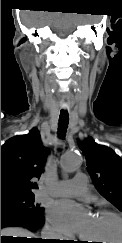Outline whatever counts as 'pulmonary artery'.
I'll return each instance as SVG.
<instances>
[{"mask_svg": "<svg viewBox=\"0 0 122 243\" xmlns=\"http://www.w3.org/2000/svg\"><path fill=\"white\" fill-rule=\"evenodd\" d=\"M88 192V183L85 174L76 173L71 180L59 181L53 187H47L45 193L53 196L83 195Z\"/></svg>", "mask_w": 122, "mask_h": 243, "instance_id": "pulmonary-artery-1", "label": "pulmonary artery"}]
</instances>
